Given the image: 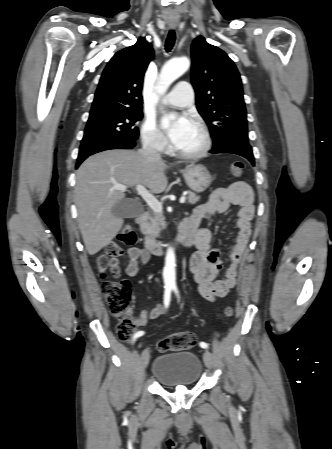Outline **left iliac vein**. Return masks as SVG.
Segmentation results:
<instances>
[{
  "instance_id": "left-iliac-vein-1",
  "label": "left iliac vein",
  "mask_w": 332,
  "mask_h": 449,
  "mask_svg": "<svg viewBox=\"0 0 332 449\" xmlns=\"http://www.w3.org/2000/svg\"><path fill=\"white\" fill-rule=\"evenodd\" d=\"M204 363L209 368L212 369L215 366V360L212 353L208 350L204 352L203 355Z\"/></svg>"
}]
</instances>
